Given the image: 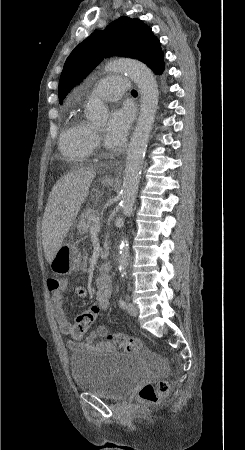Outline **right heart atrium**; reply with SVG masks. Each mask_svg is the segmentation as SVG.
I'll return each instance as SVG.
<instances>
[{
	"mask_svg": "<svg viewBox=\"0 0 245 450\" xmlns=\"http://www.w3.org/2000/svg\"><path fill=\"white\" fill-rule=\"evenodd\" d=\"M98 146V139L95 135H93V148H96Z\"/></svg>",
	"mask_w": 245,
	"mask_h": 450,
	"instance_id": "d8ad5b80",
	"label": "right heart atrium"
}]
</instances>
